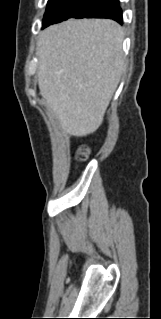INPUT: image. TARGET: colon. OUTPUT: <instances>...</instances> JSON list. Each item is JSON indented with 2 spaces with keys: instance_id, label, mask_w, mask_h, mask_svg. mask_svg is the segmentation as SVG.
<instances>
[{
  "instance_id": "obj_1",
  "label": "colon",
  "mask_w": 161,
  "mask_h": 319,
  "mask_svg": "<svg viewBox=\"0 0 161 319\" xmlns=\"http://www.w3.org/2000/svg\"><path fill=\"white\" fill-rule=\"evenodd\" d=\"M89 155V149L86 146H81L77 152L79 159H85Z\"/></svg>"
}]
</instances>
